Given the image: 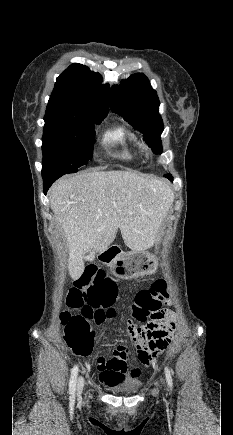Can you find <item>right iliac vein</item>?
<instances>
[{"label": "right iliac vein", "instance_id": "right-iliac-vein-1", "mask_svg": "<svg viewBox=\"0 0 233 435\" xmlns=\"http://www.w3.org/2000/svg\"><path fill=\"white\" fill-rule=\"evenodd\" d=\"M83 386H84V378L79 377L78 382H77V394H78V396L81 395V392L83 390Z\"/></svg>", "mask_w": 233, "mask_h": 435}]
</instances>
